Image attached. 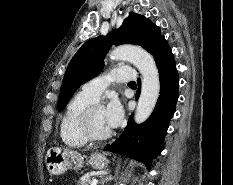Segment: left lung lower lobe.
Returning a JSON list of instances; mask_svg holds the SVG:
<instances>
[{
	"label": "left lung lower lobe",
	"instance_id": "left-lung-lower-lobe-1",
	"mask_svg": "<svg viewBox=\"0 0 233 185\" xmlns=\"http://www.w3.org/2000/svg\"><path fill=\"white\" fill-rule=\"evenodd\" d=\"M159 71L160 95L151 116L140 125L133 124L132 116L121 136L105 150L131 157L150 168L152 160L161 152L169 122L175 112L179 95L178 72L171 48L162 38L152 53ZM139 88L136 99L140 94Z\"/></svg>",
	"mask_w": 233,
	"mask_h": 185
}]
</instances>
